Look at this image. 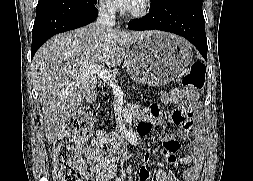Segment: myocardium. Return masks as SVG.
Wrapping results in <instances>:
<instances>
[{"label": "myocardium", "mask_w": 253, "mask_h": 181, "mask_svg": "<svg viewBox=\"0 0 253 181\" xmlns=\"http://www.w3.org/2000/svg\"><path fill=\"white\" fill-rule=\"evenodd\" d=\"M152 9V0H142L138 9L129 11V16L135 19L146 17Z\"/></svg>", "instance_id": "1"}]
</instances>
